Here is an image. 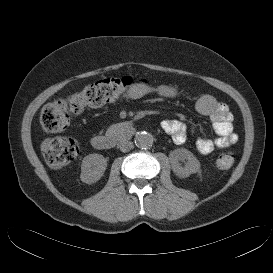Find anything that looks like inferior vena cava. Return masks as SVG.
Masks as SVG:
<instances>
[{
    "instance_id": "602c4592",
    "label": "inferior vena cava",
    "mask_w": 273,
    "mask_h": 273,
    "mask_svg": "<svg viewBox=\"0 0 273 273\" xmlns=\"http://www.w3.org/2000/svg\"><path fill=\"white\" fill-rule=\"evenodd\" d=\"M118 147L122 152H128L133 148V143L128 140H124L118 145Z\"/></svg>"
}]
</instances>
